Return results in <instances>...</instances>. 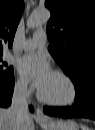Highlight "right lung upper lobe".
I'll return each instance as SVG.
<instances>
[{"mask_svg":"<svg viewBox=\"0 0 95 130\" xmlns=\"http://www.w3.org/2000/svg\"><path fill=\"white\" fill-rule=\"evenodd\" d=\"M23 7V0H0V55L3 45L12 46Z\"/></svg>","mask_w":95,"mask_h":130,"instance_id":"cb5924a9","label":"right lung upper lobe"}]
</instances>
